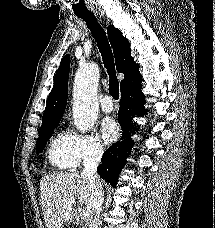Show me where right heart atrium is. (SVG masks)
Masks as SVG:
<instances>
[{"label":"right heart atrium","mask_w":215,"mask_h":228,"mask_svg":"<svg viewBox=\"0 0 215 228\" xmlns=\"http://www.w3.org/2000/svg\"><path fill=\"white\" fill-rule=\"evenodd\" d=\"M75 137L79 163H94L103 158L106 152V147L103 140L97 134L90 132L79 134Z\"/></svg>","instance_id":"1"}]
</instances>
